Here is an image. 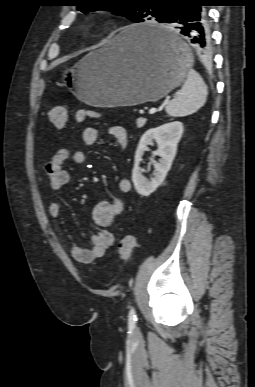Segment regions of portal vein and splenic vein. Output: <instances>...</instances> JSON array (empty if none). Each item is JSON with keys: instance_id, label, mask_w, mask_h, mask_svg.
I'll return each mask as SVG.
<instances>
[{"instance_id": "portal-vein-and-splenic-vein-1", "label": "portal vein and splenic vein", "mask_w": 255, "mask_h": 387, "mask_svg": "<svg viewBox=\"0 0 255 387\" xmlns=\"http://www.w3.org/2000/svg\"><path fill=\"white\" fill-rule=\"evenodd\" d=\"M156 112V108L152 107L149 109V114H154ZM142 123V118L138 119V124Z\"/></svg>"}]
</instances>
